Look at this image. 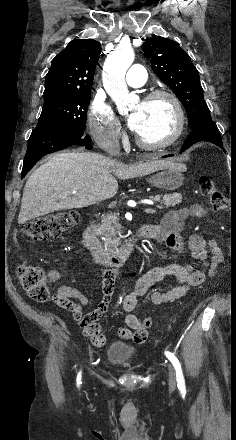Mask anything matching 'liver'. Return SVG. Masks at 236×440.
Masks as SVG:
<instances>
[{"label": "liver", "mask_w": 236, "mask_h": 440, "mask_svg": "<svg viewBox=\"0 0 236 440\" xmlns=\"http://www.w3.org/2000/svg\"><path fill=\"white\" fill-rule=\"evenodd\" d=\"M170 165L174 163L166 160L124 165L97 153H57L27 180L18 224L54 211L88 207L110 199L118 191L115 177L125 180L145 176Z\"/></svg>", "instance_id": "1"}]
</instances>
